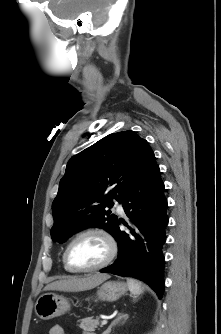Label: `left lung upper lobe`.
<instances>
[{"label":"left lung upper lobe","mask_w":221,"mask_h":334,"mask_svg":"<svg viewBox=\"0 0 221 334\" xmlns=\"http://www.w3.org/2000/svg\"><path fill=\"white\" fill-rule=\"evenodd\" d=\"M154 158L148 142L130 130L109 134L71 158L52 203V240L63 243L87 227L113 234L118 219L105 208L112 198L122 202Z\"/></svg>","instance_id":"5c2ea615"}]
</instances>
